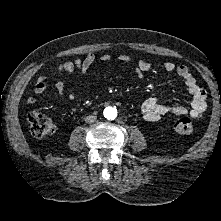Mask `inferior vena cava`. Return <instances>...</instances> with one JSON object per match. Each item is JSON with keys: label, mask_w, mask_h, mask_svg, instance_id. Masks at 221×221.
Masks as SVG:
<instances>
[{"label": "inferior vena cava", "mask_w": 221, "mask_h": 221, "mask_svg": "<svg viewBox=\"0 0 221 221\" xmlns=\"http://www.w3.org/2000/svg\"><path fill=\"white\" fill-rule=\"evenodd\" d=\"M96 119H97L96 116H94V115H89V116L85 117V122H86V123H93V122L96 121Z\"/></svg>", "instance_id": "obj_1"}]
</instances>
